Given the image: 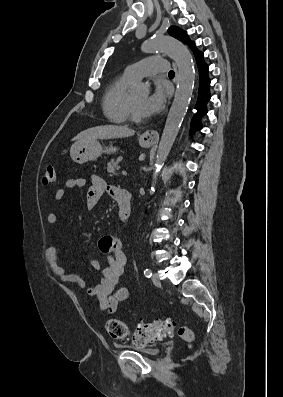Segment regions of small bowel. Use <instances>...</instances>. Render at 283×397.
I'll return each instance as SVG.
<instances>
[{"mask_svg":"<svg viewBox=\"0 0 283 397\" xmlns=\"http://www.w3.org/2000/svg\"><path fill=\"white\" fill-rule=\"evenodd\" d=\"M90 181L91 185L87 192V207L89 210L97 206L104 193H108L117 203L119 202L124 190L107 185L104 179L98 175H92ZM85 185L86 179L83 177L68 179L65 183L68 189L81 188ZM64 197L65 190L57 189L54 195L55 200L61 201ZM47 221L49 224H56L58 215L49 213ZM98 246L100 251L107 255V264L101 267L99 261L90 260L91 267L101 270L102 273L101 279L92 287L87 285L86 280L81 275L69 273L59 264L58 248L55 245H49L46 248L45 257L50 270L60 281L75 284L89 296H96L99 301V310L113 314L116 312L120 302L128 301L132 296L128 287L120 286V279L124 272L127 257L120 239L114 235L102 237Z\"/></svg>","mask_w":283,"mask_h":397,"instance_id":"obj_1","label":"small bowel"}]
</instances>
